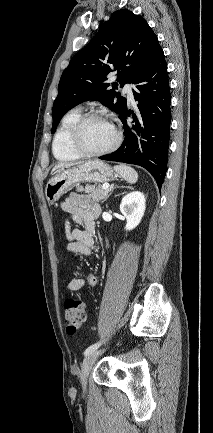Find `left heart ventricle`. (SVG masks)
Segmentation results:
<instances>
[{
	"mask_svg": "<svg viewBox=\"0 0 213 433\" xmlns=\"http://www.w3.org/2000/svg\"><path fill=\"white\" fill-rule=\"evenodd\" d=\"M116 138L113 127L103 120H91L83 128L82 144L89 151H102L110 147Z\"/></svg>",
	"mask_w": 213,
	"mask_h": 433,
	"instance_id": "obj_1",
	"label": "left heart ventricle"
}]
</instances>
